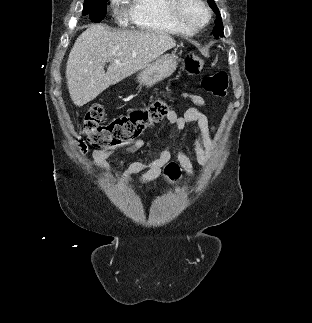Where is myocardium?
Returning <instances> with one entry per match:
<instances>
[{"label": "myocardium", "instance_id": "myocardium-1", "mask_svg": "<svg viewBox=\"0 0 312 323\" xmlns=\"http://www.w3.org/2000/svg\"><path fill=\"white\" fill-rule=\"evenodd\" d=\"M170 8L167 13L173 21H179L182 31H204L210 17H213V10H209L205 1L202 0H170ZM185 13H201L191 16Z\"/></svg>", "mask_w": 312, "mask_h": 323}]
</instances>
